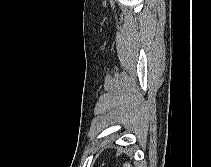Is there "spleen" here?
Segmentation results:
<instances>
[{
    "mask_svg": "<svg viewBox=\"0 0 211 167\" xmlns=\"http://www.w3.org/2000/svg\"><path fill=\"white\" fill-rule=\"evenodd\" d=\"M123 167H131L130 163H124Z\"/></svg>",
    "mask_w": 211,
    "mask_h": 167,
    "instance_id": "obj_1",
    "label": "spleen"
}]
</instances>
